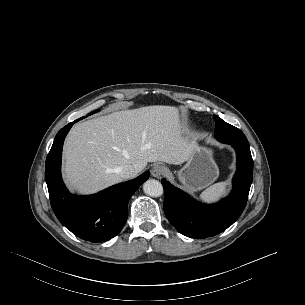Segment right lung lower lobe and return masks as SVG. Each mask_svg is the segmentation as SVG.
<instances>
[{
	"label": "right lung lower lobe",
	"mask_w": 305,
	"mask_h": 305,
	"mask_svg": "<svg viewBox=\"0 0 305 305\" xmlns=\"http://www.w3.org/2000/svg\"><path fill=\"white\" fill-rule=\"evenodd\" d=\"M80 119L69 123L56 135L46 159L45 178L51 206L59 221L81 239L104 242L122 230L128 217V201L149 178L150 172L94 195H72L61 177L62 147L68 131Z\"/></svg>",
	"instance_id": "right-lung-lower-lobe-1"
}]
</instances>
